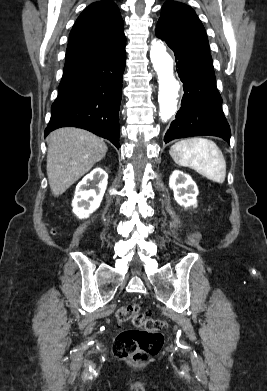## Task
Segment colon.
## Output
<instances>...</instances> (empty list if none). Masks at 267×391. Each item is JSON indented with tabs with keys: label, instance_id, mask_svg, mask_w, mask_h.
Listing matches in <instances>:
<instances>
[{
	"label": "colon",
	"instance_id": "obj_1",
	"mask_svg": "<svg viewBox=\"0 0 267 391\" xmlns=\"http://www.w3.org/2000/svg\"><path fill=\"white\" fill-rule=\"evenodd\" d=\"M118 323L131 321L137 328L120 332L113 343L114 354L133 362H145L160 352L164 344L165 323L151 318L137 304L121 306L116 313Z\"/></svg>",
	"mask_w": 267,
	"mask_h": 391
}]
</instances>
